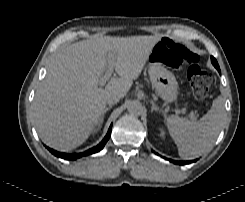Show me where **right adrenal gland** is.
Listing matches in <instances>:
<instances>
[{"label": "right adrenal gland", "mask_w": 245, "mask_h": 202, "mask_svg": "<svg viewBox=\"0 0 245 202\" xmlns=\"http://www.w3.org/2000/svg\"><path fill=\"white\" fill-rule=\"evenodd\" d=\"M111 108H112V106L110 105V106H108V107H106V108L104 109V111H103V113H102V115H101V117H100V119H99V121H98V125H97V128H96V131L99 130V129L101 128V125L103 124L104 116H105L106 112H107L108 110H110Z\"/></svg>", "instance_id": "obj_1"}]
</instances>
